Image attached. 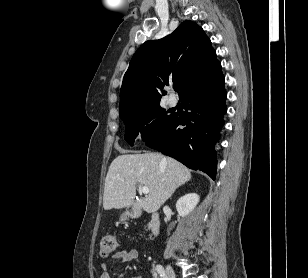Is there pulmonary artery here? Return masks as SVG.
I'll return each instance as SVG.
<instances>
[{"mask_svg":"<svg viewBox=\"0 0 308 278\" xmlns=\"http://www.w3.org/2000/svg\"><path fill=\"white\" fill-rule=\"evenodd\" d=\"M168 102L171 106H175L177 104V98L174 95H170Z\"/></svg>","mask_w":308,"mask_h":278,"instance_id":"e3ab8cb5","label":"pulmonary artery"}]
</instances>
